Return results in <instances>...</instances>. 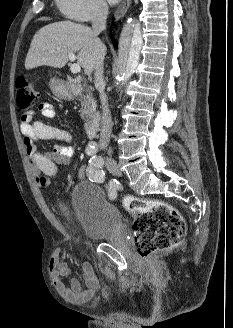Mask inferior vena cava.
Wrapping results in <instances>:
<instances>
[{
	"label": "inferior vena cava",
	"mask_w": 233,
	"mask_h": 328,
	"mask_svg": "<svg viewBox=\"0 0 233 328\" xmlns=\"http://www.w3.org/2000/svg\"><path fill=\"white\" fill-rule=\"evenodd\" d=\"M107 15L108 6L106 2L103 0H98L93 7L92 28L94 32L99 33L106 29ZM103 60L104 57H100L95 64L94 84L96 89L99 91V97L102 105V121L99 142L102 146H107L110 141L113 123L108 106L107 96L104 92L105 82L103 76Z\"/></svg>",
	"instance_id": "obj_1"
}]
</instances>
